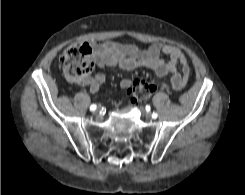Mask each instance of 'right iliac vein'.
<instances>
[{
	"label": "right iliac vein",
	"mask_w": 245,
	"mask_h": 195,
	"mask_svg": "<svg viewBox=\"0 0 245 195\" xmlns=\"http://www.w3.org/2000/svg\"><path fill=\"white\" fill-rule=\"evenodd\" d=\"M94 114L98 115L99 114V109L95 110Z\"/></svg>",
	"instance_id": "1"
}]
</instances>
